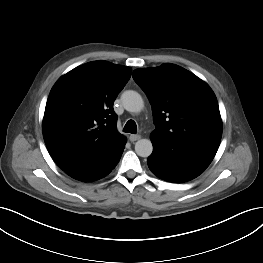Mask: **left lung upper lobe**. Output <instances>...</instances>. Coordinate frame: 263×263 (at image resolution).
Instances as JSON below:
<instances>
[{
	"label": "left lung upper lobe",
	"mask_w": 263,
	"mask_h": 263,
	"mask_svg": "<svg viewBox=\"0 0 263 263\" xmlns=\"http://www.w3.org/2000/svg\"><path fill=\"white\" fill-rule=\"evenodd\" d=\"M132 76L152 105L155 130L151 136L219 147V106L204 81L174 64L136 69Z\"/></svg>",
	"instance_id": "5c2ea615"
}]
</instances>
